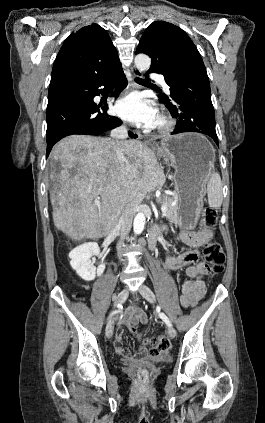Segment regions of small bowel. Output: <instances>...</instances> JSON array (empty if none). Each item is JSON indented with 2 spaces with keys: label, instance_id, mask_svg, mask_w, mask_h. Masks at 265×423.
I'll use <instances>...</instances> for the list:
<instances>
[{
  "label": "small bowel",
  "instance_id": "small-bowel-1",
  "mask_svg": "<svg viewBox=\"0 0 265 423\" xmlns=\"http://www.w3.org/2000/svg\"><path fill=\"white\" fill-rule=\"evenodd\" d=\"M157 228L161 232L166 229L165 226H157ZM213 237L214 233L209 229L198 232L181 230L177 233V239L190 249L179 255L168 254L166 256L165 263L169 270L176 271L185 268V272L190 278L181 289L180 301L184 307L194 306L205 292L203 278L209 273V267L205 262L198 261L197 248ZM147 321V315L139 307L128 308L123 314V322L128 326L146 324ZM123 341V332L118 330L115 338V350L119 355L131 361L134 356L125 350ZM141 354L142 351L139 352V355Z\"/></svg>",
  "mask_w": 265,
  "mask_h": 423
}]
</instances>
